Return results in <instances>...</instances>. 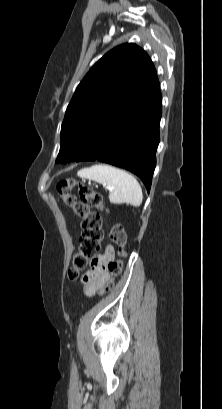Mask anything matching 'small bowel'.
I'll return each mask as SVG.
<instances>
[{
    "label": "small bowel",
    "mask_w": 222,
    "mask_h": 409,
    "mask_svg": "<svg viewBox=\"0 0 222 409\" xmlns=\"http://www.w3.org/2000/svg\"><path fill=\"white\" fill-rule=\"evenodd\" d=\"M114 249L111 245H107L102 256H90L89 262L91 269L87 271L83 277V292L86 296L92 297L104 287L109 281L110 274L108 269L110 267L109 260L114 259Z\"/></svg>",
    "instance_id": "c3829d8e"
}]
</instances>
